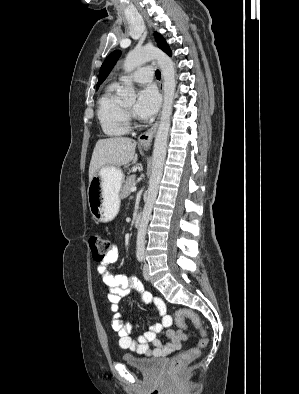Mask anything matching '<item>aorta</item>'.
Instances as JSON below:
<instances>
[{"instance_id": "obj_1", "label": "aorta", "mask_w": 299, "mask_h": 394, "mask_svg": "<svg viewBox=\"0 0 299 394\" xmlns=\"http://www.w3.org/2000/svg\"><path fill=\"white\" fill-rule=\"evenodd\" d=\"M151 60H156L161 70L164 80V99L159 127L154 141L152 174L149 179L148 194L137 234L136 253L138 256H143L145 252L146 230L162 178L163 166L166 158L167 138L171 125L176 79L175 66L172 59L156 47L135 49L127 54L124 61V70L126 73H130L137 67ZM124 82L125 87L120 94L121 97L125 100L134 101L136 94L132 86V81L130 79H126Z\"/></svg>"}]
</instances>
